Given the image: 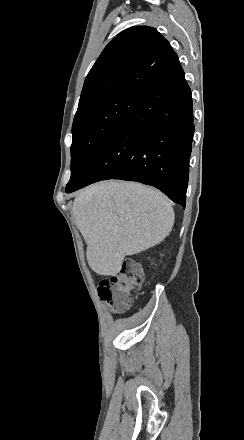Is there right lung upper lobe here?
<instances>
[{
    "label": "right lung upper lobe",
    "mask_w": 244,
    "mask_h": 440,
    "mask_svg": "<svg viewBox=\"0 0 244 440\" xmlns=\"http://www.w3.org/2000/svg\"><path fill=\"white\" fill-rule=\"evenodd\" d=\"M180 68L177 54L156 29L131 27L105 47L85 79L79 105L119 94L142 97Z\"/></svg>",
    "instance_id": "right-lung-upper-lobe-1"
}]
</instances>
